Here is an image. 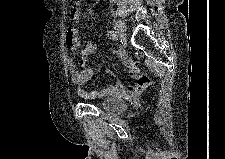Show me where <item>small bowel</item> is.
Here are the masks:
<instances>
[{"instance_id":"obj_1","label":"small bowel","mask_w":225,"mask_h":159,"mask_svg":"<svg viewBox=\"0 0 225 159\" xmlns=\"http://www.w3.org/2000/svg\"><path fill=\"white\" fill-rule=\"evenodd\" d=\"M81 16L80 4L77 2L73 5L70 10V22L71 26L67 29L65 33V43L70 51V62L69 68L71 73L72 81L75 85L79 86L78 94L81 97L88 96H107V95H121L122 93H127L130 95L138 94L145 90L149 85V79L146 77H138L135 85L129 86L123 89L121 86H108L101 87L94 90L92 93H87L81 88L84 84L90 81L95 70L91 66H87L89 57L91 55H98V46L94 42H88L84 48L79 51L80 48V36L76 25L79 22ZM113 51L123 60L124 64L131 67V62L127 59L124 50L115 45ZM79 56V61L75 62L74 58Z\"/></svg>"}]
</instances>
